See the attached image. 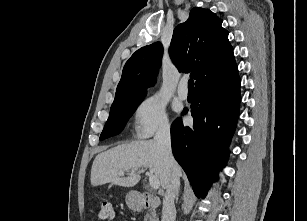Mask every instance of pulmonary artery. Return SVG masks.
Here are the masks:
<instances>
[{
  "label": "pulmonary artery",
  "mask_w": 307,
  "mask_h": 221,
  "mask_svg": "<svg viewBox=\"0 0 307 221\" xmlns=\"http://www.w3.org/2000/svg\"><path fill=\"white\" fill-rule=\"evenodd\" d=\"M186 87H187V80L186 79L181 80L179 82L177 89V95L181 100H186L188 98V91Z\"/></svg>",
  "instance_id": "e3ab8cb5"
}]
</instances>
